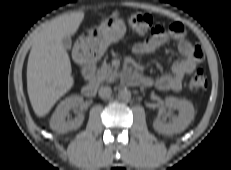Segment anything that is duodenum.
Segmentation results:
<instances>
[{
  "label": "duodenum",
  "instance_id": "410a0bca",
  "mask_svg": "<svg viewBox=\"0 0 231 170\" xmlns=\"http://www.w3.org/2000/svg\"><path fill=\"white\" fill-rule=\"evenodd\" d=\"M77 59L83 65V77L88 81L83 88V94L92 98L96 95L98 89V81L94 77V64L84 55H77ZM127 80L131 82H139V76L136 73L130 72L127 75Z\"/></svg>",
  "mask_w": 231,
  "mask_h": 170
}]
</instances>
